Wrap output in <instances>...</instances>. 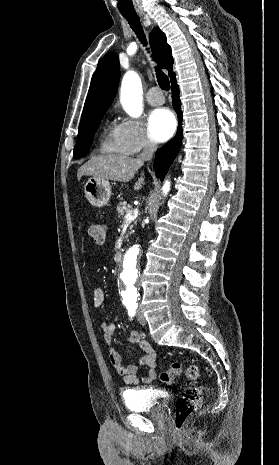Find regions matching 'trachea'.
<instances>
[{
    "instance_id": "1",
    "label": "trachea",
    "mask_w": 279,
    "mask_h": 465,
    "mask_svg": "<svg viewBox=\"0 0 279 465\" xmlns=\"http://www.w3.org/2000/svg\"><path fill=\"white\" fill-rule=\"evenodd\" d=\"M123 16L128 21L133 31L136 33L141 43L144 46H146L147 45L146 37L144 35L139 17L137 15H126V14H123ZM155 69H156V76H157V81H158L159 86L163 90L168 91L170 89V82H169L168 77L159 68L156 67Z\"/></svg>"
}]
</instances>
